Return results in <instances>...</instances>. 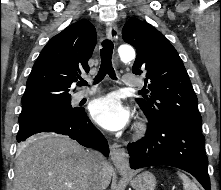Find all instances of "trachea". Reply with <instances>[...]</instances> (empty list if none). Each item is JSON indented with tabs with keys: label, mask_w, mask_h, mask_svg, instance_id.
<instances>
[{
	"label": "trachea",
	"mask_w": 221,
	"mask_h": 190,
	"mask_svg": "<svg viewBox=\"0 0 221 190\" xmlns=\"http://www.w3.org/2000/svg\"><path fill=\"white\" fill-rule=\"evenodd\" d=\"M103 48L100 50L101 65L97 76L94 79V84L99 83L108 74L112 79H116V74L112 65L113 43L109 39L102 42ZM79 86L87 85V82L82 80L78 83Z\"/></svg>",
	"instance_id": "1"
}]
</instances>
